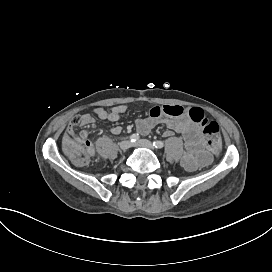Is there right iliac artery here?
I'll return each mask as SVG.
<instances>
[{
	"instance_id": "right-iliac-artery-1",
	"label": "right iliac artery",
	"mask_w": 272,
	"mask_h": 272,
	"mask_svg": "<svg viewBox=\"0 0 272 272\" xmlns=\"http://www.w3.org/2000/svg\"><path fill=\"white\" fill-rule=\"evenodd\" d=\"M139 134L138 133H134V134H132L130 137H129V139H130V141L131 142H136V141H138L139 140Z\"/></svg>"
}]
</instances>
